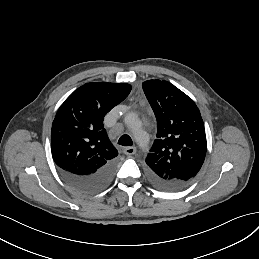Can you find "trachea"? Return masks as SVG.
Returning <instances> with one entry per match:
<instances>
[{
	"label": "trachea",
	"mask_w": 259,
	"mask_h": 259,
	"mask_svg": "<svg viewBox=\"0 0 259 259\" xmlns=\"http://www.w3.org/2000/svg\"><path fill=\"white\" fill-rule=\"evenodd\" d=\"M118 144L122 146H132L133 141L129 135H122L118 140Z\"/></svg>",
	"instance_id": "obj_1"
}]
</instances>
